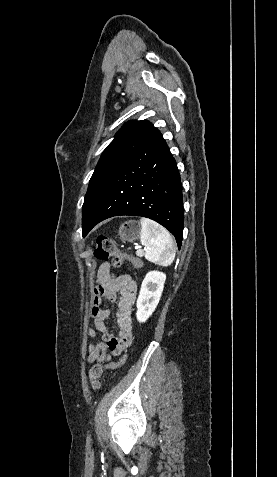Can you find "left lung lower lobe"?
Masks as SVG:
<instances>
[{"label":"left lung lower lobe","mask_w":277,"mask_h":477,"mask_svg":"<svg viewBox=\"0 0 277 477\" xmlns=\"http://www.w3.org/2000/svg\"><path fill=\"white\" fill-rule=\"evenodd\" d=\"M150 218L167 228L180 249L183 237V196L177 164L159 133L135 152L113 175L83 237L99 222L114 216Z\"/></svg>","instance_id":"1"}]
</instances>
